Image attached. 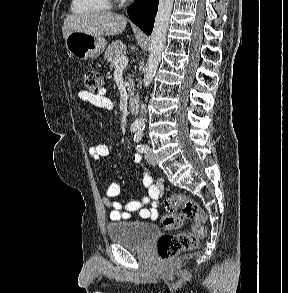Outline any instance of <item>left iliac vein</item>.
<instances>
[{"mask_svg":"<svg viewBox=\"0 0 288 293\" xmlns=\"http://www.w3.org/2000/svg\"><path fill=\"white\" fill-rule=\"evenodd\" d=\"M145 158L150 164L156 165V159L151 148H148V150L146 151Z\"/></svg>","mask_w":288,"mask_h":293,"instance_id":"obj_1","label":"left iliac vein"}]
</instances>
